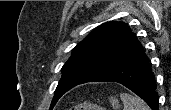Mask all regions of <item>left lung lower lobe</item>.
I'll return each instance as SVG.
<instances>
[{
  "label": "left lung lower lobe",
  "instance_id": "0a47b994",
  "mask_svg": "<svg viewBox=\"0 0 171 110\" xmlns=\"http://www.w3.org/2000/svg\"><path fill=\"white\" fill-rule=\"evenodd\" d=\"M117 82L141 97L152 110H158V93L150 61L141 46L120 64L89 82Z\"/></svg>",
  "mask_w": 171,
  "mask_h": 110
}]
</instances>
